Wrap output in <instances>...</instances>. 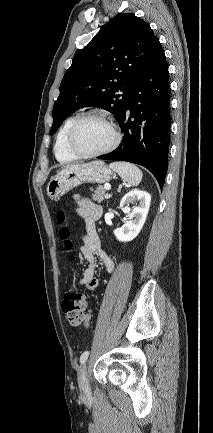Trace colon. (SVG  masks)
<instances>
[{
    "label": "colon",
    "mask_w": 213,
    "mask_h": 433,
    "mask_svg": "<svg viewBox=\"0 0 213 433\" xmlns=\"http://www.w3.org/2000/svg\"><path fill=\"white\" fill-rule=\"evenodd\" d=\"M58 220L61 224L66 221V215L63 211L58 213ZM60 237L64 242L67 250L72 249V241L70 239V230L63 226L60 229ZM62 309L65 314L66 320L71 327H79L88 325V313L86 312V300L83 294L75 291L68 290L62 301Z\"/></svg>",
    "instance_id": "obj_1"
}]
</instances>
